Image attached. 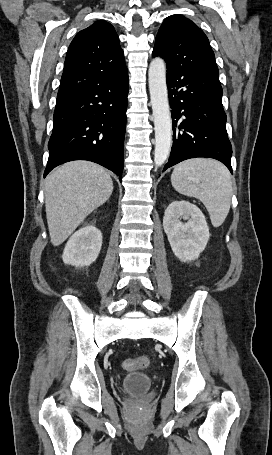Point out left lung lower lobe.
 <instances>
[{
	"instance_id": "obj_1",
	"label": "left lung lower lobe",
	"mask_w": 272,
	"mask_h": 455,
	"mask_svg": "<svg viewBox=\"0 0 272 455\" xmlns=\"http://www.w3.org/2000/svg\"><path fill=\"white\" fill-rule=\"evenodd\" d=\"M167 86L173 146L163 171L189 158L206 157L221 161L232 173V147L226 131L219 74L193 69L167 71Z\"/></svg>"
}]
</instances>
